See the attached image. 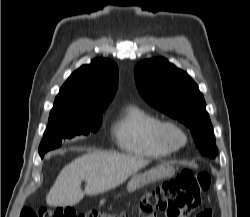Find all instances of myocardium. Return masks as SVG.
<instances>
[{
  "mask_svg": "<svg viewBox=\"0 0 250 217\" xmlns=\"http://www.w3.org/2000/svg\"><path fill=\"white\" fill-rule=\"evenodd\" d=\"M156 134L159 141L172 151L183 148L188 142L187 132L174 121H160Z\"/></svg>",
  "mask_w": 250,
  "mask_h": 217,
  "instance_id": "f54148a6",
  "label": "myocardium"
}]
</instances>
